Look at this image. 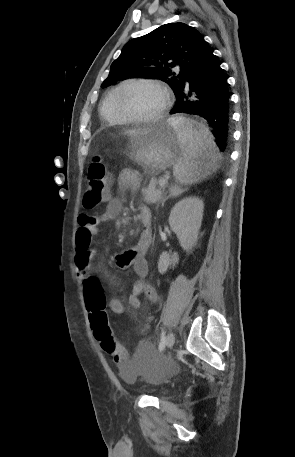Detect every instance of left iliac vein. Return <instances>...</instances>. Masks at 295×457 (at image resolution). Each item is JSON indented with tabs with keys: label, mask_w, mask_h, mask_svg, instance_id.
<instances>
[{
	"label": "left iliac vein",
	"mask_w": 295,
	"mask_h": 457,
	"mask_svg": "<svg viewBox=\"0 0 295 457\" xmlns=\"http://www.w3.org/2000/svg\"><path fill=\"white\" fill-rule=\"evenodd\" d=\"M174 342H175V336L172 332H170L166 338V343H165L166 347L171 348L174 345Z\"/></svg>",
	"instance_id": "left-iliac-vein-1"
}]
</instances>
